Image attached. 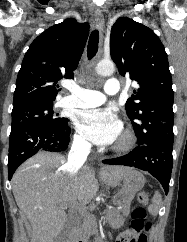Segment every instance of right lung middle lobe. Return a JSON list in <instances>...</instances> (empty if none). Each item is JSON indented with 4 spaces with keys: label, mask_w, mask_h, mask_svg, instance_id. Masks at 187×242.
Returning a JSON list of instances; mask_svg holds the SVG:
<instances>
[{
    "label": "right lung middle lobe",
    "mask_w": 187,
    "mask_h": 242,
    "mask_svg": "<svg viewBox=\"0 0 187 242\" xmlns=\"http://www.w3.org/2000/svg\"><path fill=\"white\" fill-rule=\"evenodd\" d=\"M67 123V118L54 113L52 101L24 103L14 106L12 110L11 129L26 126L63 128Z\"/></svg>",
    "instance_id": "dd1d6c3e"
}]
</instances>
